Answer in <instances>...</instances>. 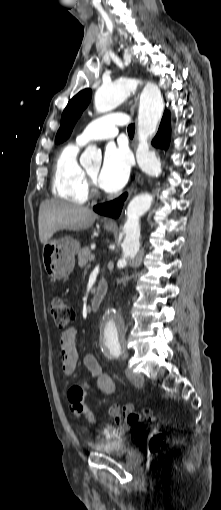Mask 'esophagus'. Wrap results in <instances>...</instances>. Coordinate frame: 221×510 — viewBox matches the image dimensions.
Returning a JSON list of instances; mask_svg holds the SVG:
<instances>
[{
	"mask_svg": "<svg viewBox=\"0 0 221 510\" xmlns=\"http://www.w3.org/2000/svg\"><path fill=\"white\" fill-rule=\"evenodd\" d=\"M138 100H139V94H136V95L134 96V104H135V106H137V105H138ZM133 191H134V184L132 183V184L130 185L129 189H128V193H129V195H131ZM105 223H106V224H109V225H113V226H116V225H117V224H116V221H115L114 219H112V218H106V219H105Z\"/></svg>",
	"mask_w": 221,
	"mask_h": 510,
	"instance_id": "1",
	"label": "esophagus"
}]
</instances>
